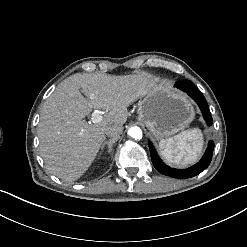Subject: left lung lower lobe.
<instances>
[{
	"label": "left lung lower lobe",
	"mask_w": 247,
	"mask_h": 247,
	"mask_svg": "<svg viewBox=\"0 0 247 247\" xmlns=\"http://www.w3.org/2000/svg\"><path fill=\"white\" fill-rule=\"evenodd\" d=\"M175 86L181 89L182 91L186 92L191 98H193L196 101V103L199 105L203 113L204 119L206 120L207 124L211 125L212 116L209 111L208 103L205 100V97L203 96L201 91L189 80L177 81L175 83ZM149 149H150L152 163L157 171H159L161 174H164L166 176L182 179V178H190L196 176L209 166L212 159L214 142L209 141L208 148L204 156L197 164L191 166L188 169H183V170L174 169L164 164L162 160L159 158L151 142H149Z\"/></svg>",
	"instance_id": "0a47b994"
}]
</instances>
